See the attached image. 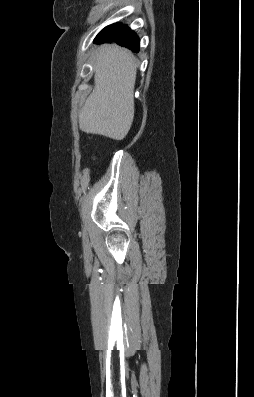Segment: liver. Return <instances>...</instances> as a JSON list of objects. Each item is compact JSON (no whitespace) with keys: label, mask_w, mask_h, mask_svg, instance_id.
<instances>
[{"label":"liver","mask_w":254,"mask_h":397,"mask_svg":"<svg viewBox=\"0 0 254 397\" xmlns=\"http://www.w3.org/2000/svg\"><path fill=\"white\" fill-rule=\"evenodd\" d=\"M94 54V88L79 113V127L87 134L123 140L134 118V56L115 44H104Z\"/></svg>","instance_id":"obj_1"}]
</instances>
